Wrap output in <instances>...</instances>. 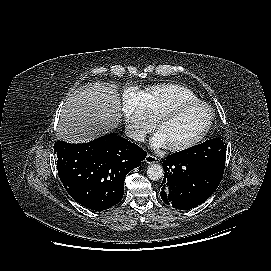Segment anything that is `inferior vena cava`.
I'll list each match as a JSON object with an SVG mask.
<instances>
[{
    "mask_svg": "<svg viewBox=\"0 0 271 271\" xmlns=\"http://www.w3.org/2000/svg\"><path fill=\"white\" fill-rule=\"evenodd\" d=\"M126 136L135 140V141H144L145 140V134L142 131H137L133 129H126L125 130Z\"/></svg>",
    "mask_w": 271,
    "mask_h": 271,
    "instance_id": "inferior-vena-cava-1",
    "label": "inferior vena cava"
}]
</instances>
